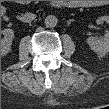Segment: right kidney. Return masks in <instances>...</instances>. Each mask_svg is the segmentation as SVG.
Here are the masks:
<instances>
[{"instance_id": "1", "label": "right kidney", "mask_w": 109, "mask_h": 109, "mask_svg": "<svg viewBox=\"0 0 109 109\" xmlns=\"http://www.w3.org/2000/svg\"><path fill=\"white\" fill-rule=\"evenodd\" d=\"M4 37L1 39V54L2 56L6 55L11 48L12 41L14 38V31L12 29L3 30Z\"/></svg>"}]
</instances>
